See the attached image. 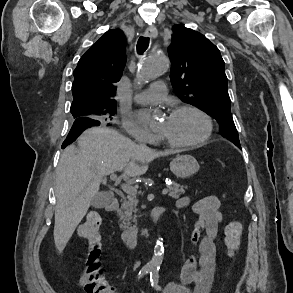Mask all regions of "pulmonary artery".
Instances as JSON below:
<instances>
[{
	"instance_id": "1",
	"label": "pulmonary artery",
	"mask_w": 293,
	"mask_h": 293,
	"mask_svg": "<svg viewBox=\"0 0 293 293\" xmlns=\"http://www.w3.org/2000/svg\"><path fill=\"white\" fill-rule=\"evenodd\" d=\"M166 97V85L162 81L151 84L150 88L135 95L138 103L155 104Z\"/></svg>"
}]
</instances>
